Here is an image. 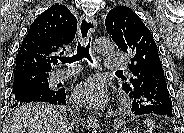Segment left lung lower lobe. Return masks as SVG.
<instances>
[{
	"instance_id": "left-lung-lower-lobe-1",
	"label": "left lung lower lobe",
	"mask_w": 184,
	"mask_h": 133,
	"mask_svg": "<svg viewBox=\"0 0 184 133\" xmlns=\"http://www.w3.org/2000/svg\"><path fill=\"white\" fill-rule=\"evenodd\" d=\"M148 66L156 71L151 75H146V80L142 85L129 93V96L134 98L132 112L134 115L156 114L173 117L172 101L157 54L153 53Z\"/></svg>"
}]
</instances>
